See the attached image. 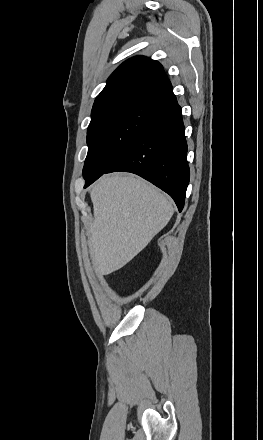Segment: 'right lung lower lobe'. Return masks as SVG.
Segmentation results:
<instances>
[{"instance_id":"98d812e1","label":"right lung lower lobe","mask_w":263,"mask_h":440,"mask_svg":"<svg viewBox=\"0 0 263 440\" xmlns=\"http://www.w3.org/2000/svg\"><path fill=\"white\" fill-rule=\"evenodd\" d=\"M184 133L181 108L172 95L157 106L147 125L104 173H135L168 193L181 211L190 177ZM99 177L86 180L85 187Z\"/></svg>"}]
</instances>
